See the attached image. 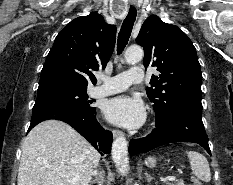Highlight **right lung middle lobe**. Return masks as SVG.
I'll return each mask as SVG.
<instances>
[{"label": "right lung middle lobe", "instance_id": "obj_1", "mask_svg": "<svg viewBox=\"0 0 233 185\" xmlns=\"http://www.w3.org/2000/svg\"><path fill=\"white\" fill-rule=\"evenodd\" d=\"M35 105L56 104L71 106L86 111L96 108L91 106L93 101L88 100L87 89L55 87L38 90Z\"/></svg>", "mask_w": 233, "mask_h": 185}]
</instances>
